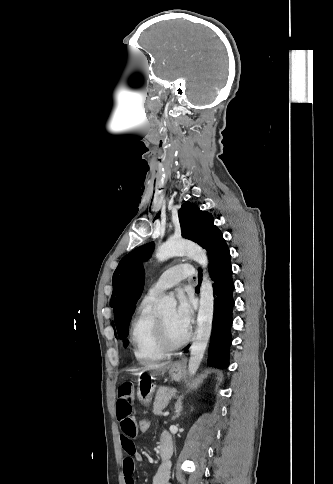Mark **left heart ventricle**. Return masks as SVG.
Listing matches in <instances>:
<instances>
[{
  "label": "left heart ventricle",
  "instance_id": "left-heart-ventricle-1",
  "mask_svg": "<svg viewBox=\"0 0 333 484\" xmlns=\"http://www.w3.org/2000/svg\"><path fill=\"white\" fill-rule=\"evenodd\" d=\"M160 317L163 319L168 336L172 341H178L185 336L186 332L175 322L173 309L162 313Z\"/></svg>",
  "mask_w": 333,
  "mask_h": 484
}]
</instances>
